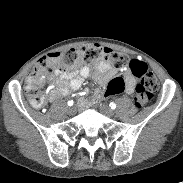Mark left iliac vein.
I'll use <instances>...</instances> for the list:
<instances>
[{"label": "left iliac vein", "instance_id": "4c4485c4", "mask_svg": "<svg viewBox=\"0 0 183 183\" xmlns=\"http://www.w3.org/2000/svg\"><path fill=\"white\" fill-rule=\"evenodd\" d=\"M100 110L107 117H113L115 115L114 110H112L111 108H109L105 105L101 106Z\"/></svg>", "mask_w": 183, "mask_h": 183}]
</instances>
